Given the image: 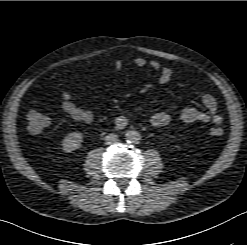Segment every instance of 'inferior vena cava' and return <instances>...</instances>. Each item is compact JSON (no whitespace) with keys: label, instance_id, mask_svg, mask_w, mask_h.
Masks as SVG:
<instances>
[{"label":"inferior vena cava","instance_id":"inferior-vena-cava-1","mask_svg":"<svg viewBox=\"0 0 247 245\" xmlns=\"http://www.w3.org/2000/svg\"><path fill=\"white\" fill-rule=\"evenodd\" d=\"M119 140L118 135L110 133L105 137V144L106 145H113L116 144Z\"/></svg>","mask_w":247,"mask_h":245}]
</instances>
